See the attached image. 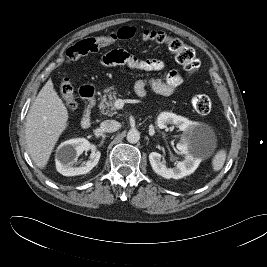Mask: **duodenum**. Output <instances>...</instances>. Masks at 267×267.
I'll return each instance as SVG.
<instances>
[{"label":"duodenum","instance_id":"1","mask_svg":"<svg viewBox=\"0 0 267 267\" xmlns=\"http://www.w3.org/2000/svg\"><path fill=\"white\" fill-rule=\"evenodd\" d=\"M95 88L93 86H84L80 89V94L84 102V112L81 119V126L83 128H88L92 122V109L94 105L95 98Z\"/></svg>","mask_w":267,"mask_h":267}]
</instances>
